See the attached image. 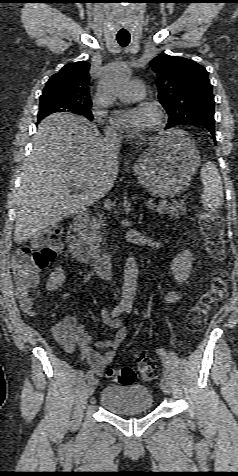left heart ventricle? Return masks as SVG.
I'll list each match as a JSON object with an SVG mask.
<instances>
[{"label":"left heart ventricle","mask_w":238,"mask_h":476,"mask_svg":"<svg viewBox=\"0 0 238 476\" xmlns=\"http://www.w3.org/2000/svg\"><path fill=\"white\" fill-rule=\"evenodd\" d=\"M154 123V115L153 113H151V116H150V125H152Z\"/></svg>","instance_id":"b2bd125f"}]
</instances>
